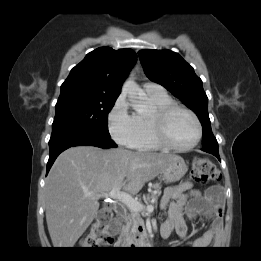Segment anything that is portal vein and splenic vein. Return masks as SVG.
I'll list each match as a JSON object with an SVG mask.
<instances>
[{
  "mask_svg": "<svg viewBox=\"0 0 261 261\" xmlns=\"http://www.w3.org/2000/svg\"><path fill=\"white\" fill-rule=\"evenodd\" d=\"M99 198H111L114 200H118L125 204L130 210L135 212H140L142 210H146L147 212L151 213L154 210L152 205H147L146 207L139 202L138 200L134 199L131 195L121 192L120 188L115 187L110 192L100 194Z\"/></svg>",
  "mask_w": 261,
  "mask_h": 261,
  "instance_id": "18ae733b",
  "label": "portal vein and splenic vein"
}]
</instances>
